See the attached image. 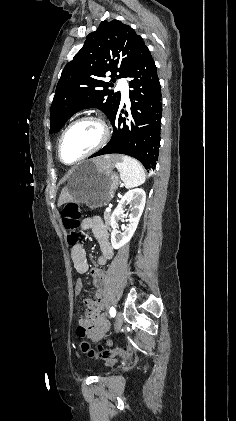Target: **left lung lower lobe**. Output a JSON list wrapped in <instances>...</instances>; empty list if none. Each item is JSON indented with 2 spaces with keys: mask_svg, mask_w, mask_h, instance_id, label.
Segmentation results:
<instances>
[{
  "mask_svg": "<svg viewBox=\"0 0 236 421\" xmlns=\"http://www.w3.org/2000/svg\"><path fill=\"white\" fill-rule=\"evenodd\" d=\"M126 77L130 78V118L121 117L120 105L110 120L113 135L109 143L90 158L119 153L139 160L148 172L156 168L162 115L161 87L155 62L145 44L137 50ZM128 116L127 113H125Z\"/></svg>",
  "mask_w": 236,
  "mask_h": 421,
  "instance_id": "left-lung-lower-lobe-1",
  "label": "left lung lower lobe"
}]
</instances>
